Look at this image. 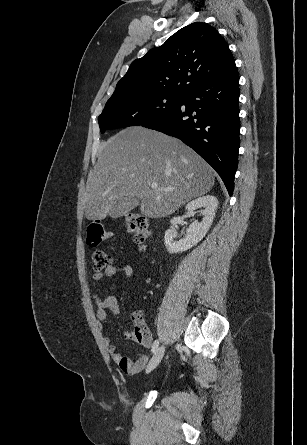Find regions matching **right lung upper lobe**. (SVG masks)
<instances>
[{
  "instance_id": "1",
  "label": "right lung upper lobe",
  "mask_w": 307,
  "mask_h": 445,
  "mask_svg": "<svg viewBox=\"0 0 307 445\" xmlns=\"http://www.w3.org/2000/svg\"><path fill=\"white\" fill-rule=\"evenodd\" d=\"M227 42L218 31L195 22L173 34L130 65L115 96L171 94L185 96L234 66Z\"/></svg>"
}]
</instances>
